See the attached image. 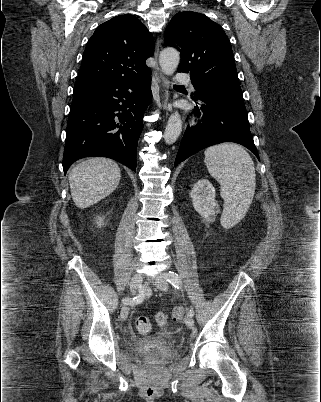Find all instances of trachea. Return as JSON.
I'll use <instances>...</instances> for the list:
<instances>
[{"label": "trachea", "instance_id": "1", "mask_svg": "<svg viewBox=\"0 0 321 402\" xmlns=\"http://www.w3.org/2000/svg\"><path fill=\"white\" fill-rule=\"evenodd\" d=\"M175 87H179V86H181V85H174Z\"/></svg>", "mask_w": 321, "mask_h": 402}]
</instances>
